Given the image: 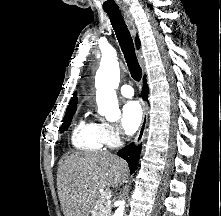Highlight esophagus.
Wrapping results in <instances>:
<instances>
[{
  "label": "esophagus",
  "instance_id": "esophagus-1",
  "mask_svg": "<svg viewBox=\"0 0 221 216\" xmlns=\"http://www.w3.org/2000/svg\"><path fill=\"white\" fill-rule=\"evenodd\" d=\"M122 15H123L125 21L127 22V24L131 27L132 33L135 34L136 29L134 26V21L131 16V13L128 10L123 9ZM142 110H143L142 122H141V125L139 128V131L137 133V136L135 138V145L136 146L141 144V142L143 141V139L145 137V132H146V126H147V121H148V105L145 100L142 101Z\"/></svg>",
  "mask_w": 221,
  "mask_h": 216
}]
</instances>
